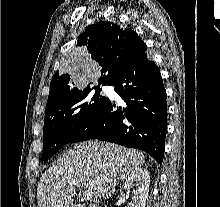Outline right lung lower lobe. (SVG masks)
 Here are the masks:
<instances>
[{
  "label": "right lung lower lobe",
  "instance_id": "right-lung-lower-lobe-1",
  "mask_svg": "<svg viewBox=\"0 0 220 207\" xmlns=\"http://www.w3.org/2000/svg\"><path fill=\"white\" fill-rule=\"evenodd\" d=\"M108 85L124 101L100 109L82 124L68 143L99 139L149 153L162 164L167 132L166 90L155 63L143 53L131 61ZM117 107V110L115 109Z\"/></svg>",
  "mask_w": 220,
  "mask_h": 207
}]
</instances>
